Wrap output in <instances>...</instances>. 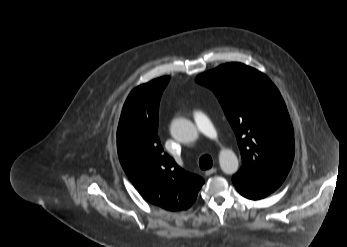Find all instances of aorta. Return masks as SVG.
<instances>
[{"label":"aorta","mask_w":347,"mask_h":247,"mask_svg":"<svg viewBox=\"0 0 347 247\" xmlns=\"http://www.w3.org/2000/svg\"><path fill=\"white\" fill-rule=\"evenodd\" d=\"M170 132L173 138L182 143H190L198 138V131L195 125L184 118L174 119L171 123ZM219 164L221 170L226 174L236 173L239 167L238 158L230 149L220 151Z\"/></svg>","instance_id":"obj_1"}]
</instances>
